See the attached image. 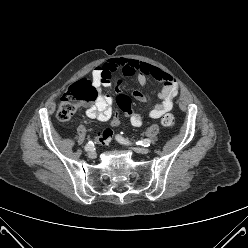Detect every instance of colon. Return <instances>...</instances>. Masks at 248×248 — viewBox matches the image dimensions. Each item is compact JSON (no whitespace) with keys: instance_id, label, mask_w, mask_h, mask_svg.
Wrapping results in <instances>:
<instances>
[{"instance_id":"1","label":"colon","mask_w":248,"mask_h":248,"mask_svg":"<svg viewBox=\"0 0 248 248\" xmlns=\"http://www.w3.org/2000/svg\"><path fill=\"white\" fill-rule=\"evenodd\" d=\"M97 97V89L92 83L85 77L79 79L61 97L56 113L57 119L61 122L69 121L83 104L94 102ZM117 104L123 109L126 118H131L134 115V108L130 106V99L127 95H118ZM174 122L175 119L171 114H166L161 119V123L167 127L172 126ZM111 123L113 126H118L120 123L119 117L116 115ZM111 137V131H103L101 135L97 136L96 141L99 144H108Z\"/></svg>"}]
</instances>
